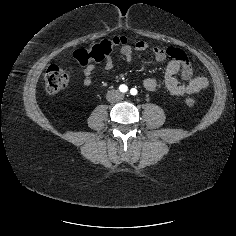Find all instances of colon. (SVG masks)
<instances>
[{
	"label": "colon",
	"instance_id": "1",
	"mask_svg": "<svg viewBox=\"0 0 236 236\" xmlns=\"http://www.w3.org/2000/svg\"><path fill=\"white\" fill-rule=\"evenodd\" d=\"M127 44V39L122 36H116L105 39L90 48H80L72 53V57L80 64L87 65L91 61L101 62L107 58L114 49L123 47ZM69 80L65 70L56 64H51L45 72L44 84L48 93L54 94L63 90ZM188 106L194 105L192 98L186 99Z\"/></svg>",
	"mask_w": 236,
	"mask_h": 236
}]
</instances>
